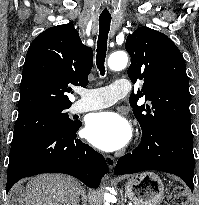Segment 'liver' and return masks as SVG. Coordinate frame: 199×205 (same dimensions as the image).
Listing matches in <instances>:
<instances>
[{"label": "liver", "instance_id": "obj_1", "mask_svg": "<svg viewBox=\"0 0 199 205\" xmlns=\"http://www.w3.org/2000/svg\"><path fill=\"white\" fill-rule=\"evenodd\" d=\"M81 191L80 183L70 176L43 174L27 183L23 200L25 205H79Z\"/></svg>", "mask_w": 199, "mask_h": 205}]
</instances>
